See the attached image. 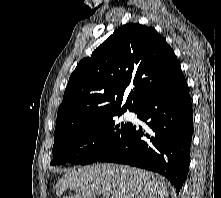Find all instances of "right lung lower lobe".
Here are the masks:
<instances>
[{
	"label": "right lung lower lobe",
	"mask_w": 221,
	"mask_h": 198,
	"mask_svg": "<svg viewBox=\"0 0 221 198\" xmlns=\"http://www.w3.org/2000/svg\"><path fill=\"white\" fill-rule=\"evenodd\" d=\"M135 113L148 128L132 125L123 140L98 161L158 172L179 193L189 171L193 134L192 104L183 74L152 94Z\"/></svg>",
	"instance_id": "98d812e1"
}]
</instances>
